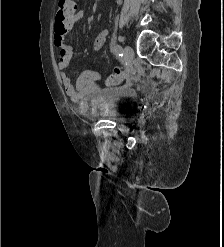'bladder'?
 I'll return each mask as SVG.
<instances>
[{
    "label": "bladder",
    "instance_id": "1",
    "mask_svg": "<svg viewBox=\"0 0 224 247\" xmlns=\"http://www.w3.org/2000/svg\"><path fill=\"white\" fill-rule=\"evenodd\" d=\"M138 94L130 88H104L92 99V117L121 123L130 122L135 116Z\"/></svg>",
    "mask_w": 224,
    "mask_h": 247
}]
</instances>
